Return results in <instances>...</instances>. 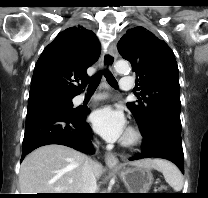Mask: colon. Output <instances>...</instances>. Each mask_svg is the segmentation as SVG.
<instances>
[{
  "mask_svg": "<svg viewBox=\"0 0 208 198\" xmlns=\"http://www.w3.org/2000/svg\"><path fill=\"white\" fill-rule=\"evenodd\" d=\"M167 188L165 186H161L158 188V190L162 191V190H166Z\"/></svg>",
  "mask_w": 208,
  "mask_h": 198,
  "instance_id": "colon-1",
  "label": "colon"
}]
</instances>
